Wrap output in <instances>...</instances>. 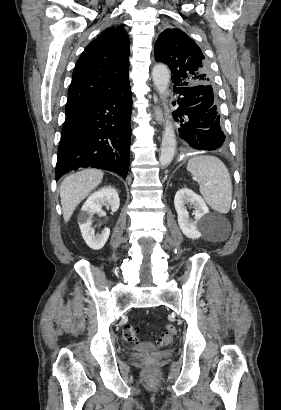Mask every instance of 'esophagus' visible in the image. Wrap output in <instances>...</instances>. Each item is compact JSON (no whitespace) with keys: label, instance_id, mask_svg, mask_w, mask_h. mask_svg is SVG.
<instances>
[{"label":"esophagus","instance_id":"obj_1","mask_svg":"<svg viewBox=\"0 0 281 410\" xmlns=\"http://www.w3.org/2000/svg\"><path fill=\"white\" fill-rule=\"evenodd\" d=\"M154 117L159 125L163 124L164 118H163L162 110L159 107V105H156L154 107Z\"/></svg>","mask_w":281,"mask_h":410}]
</instances>
